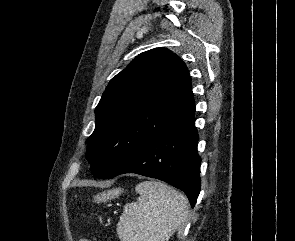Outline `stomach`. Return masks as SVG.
<instances>
[{
  "instance_id": "0dacf381",
  "label": "stomach",
  "mask_w": 295,
  "mask_h": 241,
  "mask_svg": "<svg viewBox=\"0 0 295 241\" xmlns=\"http://www.w3.org/2000/svg\"><path fill=\"white\" fill-rule=\"evenodd\" d=\"M121 190L120 189H113V190H108L107 192H103L100 195H97L94 200L96 202H102V201H106L108 199H112L115 196H117L119 194Z\"/></svg>"
}]
</instances>
